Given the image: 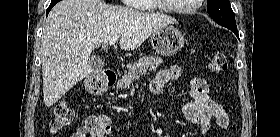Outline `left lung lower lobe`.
<instances>
[{
	"instance_id": "obj_1",
	"label": "left lung lower lobe",
	"mask_w": 280,
	"mask_h": 137,
	"mask_svg": "<svg viewBox=\"0 0 280 137\" xmlns=\"http://www.w3.org/2000/svg\"><path fill=\"white\" fill-rule=\"evenodd\" d=\"M228 29H230L231 31H233L234 34L239 38V34H238L237 28H228Z\"/></svg>"
}]
</instances>
